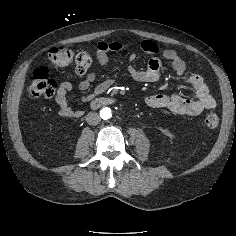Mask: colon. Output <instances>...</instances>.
I'll list each match as a JSON object with an SVG mask.
<instances>
[{"label":"colon","instance_id":"obj_1","mask_svg":"<svg viewBox=\"0 0 236 236\" xmlns=\"http://www.w3.org/2000/svg\"><path fill=\"white\" fill-rule=\"evenodd\" d=\"M50 60L58 67H66L74 64L77 73L84 74L92 64V57L85 51H76L71 47L59 46L50 49ZM57 88V82L49 74L46 67L36 69L29 82L28 91L34 98L50 97ZM205 125L209 128H215L219 124V116L214 112H209L204 118Z\"/></svg>","mask_w":236,"mask_h":236}]
</instances>
